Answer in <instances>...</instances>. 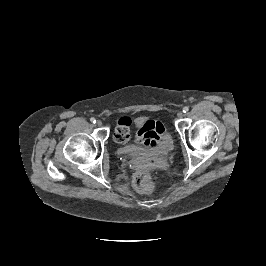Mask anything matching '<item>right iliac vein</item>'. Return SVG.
Listing matches in <instances>:
<instances>
[{
  "label": "right iliac vein",
  "mask_w": 266,
  "mask_h": 266,
  "mask_svg": "<svg viewBox=\"0 0 266 266\" xmlns=\"http://www.w3.org/2000/svg\"><path fill=\"white\" fill-rule=\"evenodd\" d=\"M96 125H97V126H101V125H102V121H101V120H97V121H96Z\"/></svg>",
  "instance_id": "1"
}]
</instances>
